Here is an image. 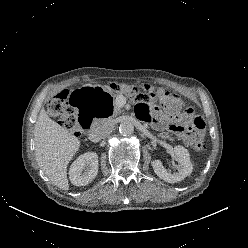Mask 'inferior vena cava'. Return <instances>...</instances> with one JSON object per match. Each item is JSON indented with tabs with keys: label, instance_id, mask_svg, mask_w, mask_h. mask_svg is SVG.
I'll return each mask as SVG.
<instances>
[{
	"label": "inferior vena cava",
	"instance_id": "602c4592",
	"mask_svg": "<svg viewBox=\"0 0 248 248\" xmlns=\"http://www.w3.org/2000/svg\"><path fill=\"white\" fill-rule=\"evenodd\" d=\"M114 130V123L111 120H102L94 124L89 139L92 142H99L106 138Z\"/></svg>",
	"mask_w": 248,
	"mask_h": 248
}]
</instances>
